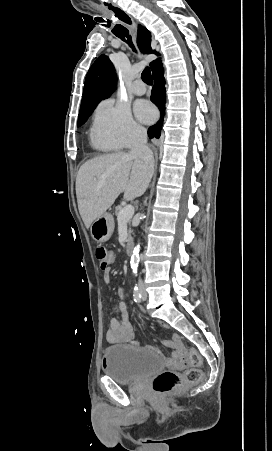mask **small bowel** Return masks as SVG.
<instances>
[{
  "label": "small bowel",
  "mask_w": 272,
  "mask_h": 451,
  "mask_svg": "<svg viewBox=\"0 0 272 451\" xmlns=\"http://www.w3.org/2000/svg\"><path fill=\"white\" fill-rule=\"evenodd\" d=\"M113 261V255H112ZM103 280L106 284L110 282V270L104 271ZM120 295L123 296L124 292L120 291ZM119 318H112L109 323V328L106 332L105 339L109 344L128 343L133 346H140V343L136 339L134 327L130 320V313L125 301H121L118 304ZM164 346L168 348H182L183 342L181 336L178 333L171 335V340L164 341ZM150 350L161 354V351L154 346L149 347Z\"/></svg>",
  "instance_id": "c3829d8e"
}]
</instances>
